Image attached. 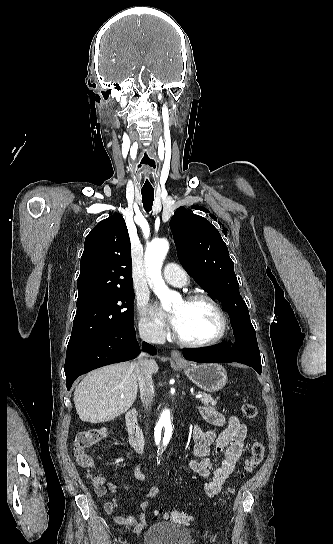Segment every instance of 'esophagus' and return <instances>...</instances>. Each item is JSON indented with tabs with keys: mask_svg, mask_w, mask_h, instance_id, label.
<instances>
[{
	"mask_svg": "<svg viewBox=\"0 0 333 544\" xmlns=\"http://www.w3.org/2000/svg\"><path fill=\"white\" fill-rule=\"evenodd\" d=\"M171 357H172L173 360H175L177 362H183L184 361L181 354H180V352L177 351V350H172L171 351Z\"/></svg>",
	"mask_w": 333,
	"mask_h": 544,
	"instance_id": "34e87169",
	"label": "esophagus"
}]
</instances>
